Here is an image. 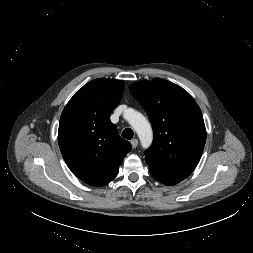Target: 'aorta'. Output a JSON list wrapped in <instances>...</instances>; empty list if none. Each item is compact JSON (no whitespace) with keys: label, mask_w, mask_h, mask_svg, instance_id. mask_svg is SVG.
I'll return each mask as SVG.
<instances>
[{"label":"aorta","mask_w":253,"mask_h":253,"mask_svg":"<svg viewBox=\"0 0 253 253\" xmlns=\"http://www.w3.org/2000/svg\"><path fill=\"white\" fill-rule=\"evenodd\" d=\"M129 124L136 131L143 148H148L153 140V132L149 121L140 113L133 109L127 111Z\"/></svg>","instance_id":"1"}]
</instances>
